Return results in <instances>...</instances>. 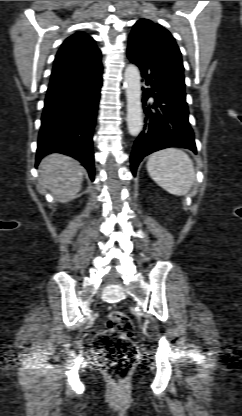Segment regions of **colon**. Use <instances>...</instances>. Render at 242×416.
Returning a JSON list of instances; mask_svg holds the SVG:
<instances>
[{
    "label": "colon",
    "instance_id": "1",
    "mask_svg": "<svg viewBox=\"0 0 242 416\" xmlns=\"http://www.w3.org/2000/svg\"><path fill=\"white\" fill-rule=\"evenodd\" d=\"M132 334L133 323L129 316L114 310L108 314L106 329L95 337L94 350L114 382L124 381L137 360Z\"/></svg>",
    "mask_w": 242,
    "mask_h": 416
}]
</instances>
